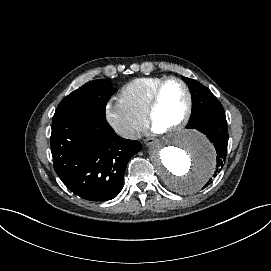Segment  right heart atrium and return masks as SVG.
<instances>
[{
  "instance_id": "obj_1",
  "label": "right heart atrium",
  "mask_w": 271,
  "mask_h": 271,
  "mask_svg": "<svg viewBox=\"0 0 271 271\" xmlns=\"http://www.w3.org/2000/svg\"><path fill=\"white\" fill-rule=\"evenodd\" d=\"M104 115L108 124L127 140L139 138L148 125L147 118L133 112L121 97H113L105 103Z\"/></svg>"
}]
</instances>
